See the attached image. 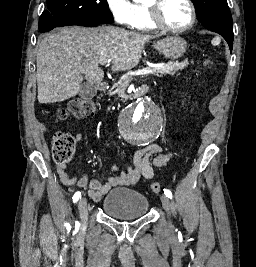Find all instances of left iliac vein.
Listing matches in <instances>:
<instances>
[{
	"instance_id": "4c4485c4",
	"label": "left iliac vein",
	"mask_w": 256,
	"mask_h": 267,
	"mask_svg": "<svg viewBox=\"0 0 256 267\" xmlns=\"http://www.w3.org/2000/svg\"><path fill=\"white\" fill-rule=\"evenodd\" d=\"M160 201L162 202L163 208L167 211V213L169 214L171 211V201L169 200V198L165 195H161L160 196Z\"/></svg>"
}]
</instances>
